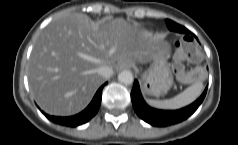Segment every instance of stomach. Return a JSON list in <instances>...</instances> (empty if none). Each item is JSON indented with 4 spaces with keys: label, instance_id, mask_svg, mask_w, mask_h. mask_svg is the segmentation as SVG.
<instances>
[{
    "label": "stomach",
    "instance_id": "0dacf381",
    "mask_svg": "<svg viewBox=\"0 0 238 145\" xmlns=\"http://www.w3.org/2000/svg\"><path fill=\"white\" fill-rule=\"evenodd\" d=\"M169 46L162 43L160 55L154 58L149 68L143 72V92L147 95L165 94L173 84V76L168 65Z\"/></svg>",
    "mask_w": 238,
    "mask_h": 145
}]
</instances>
